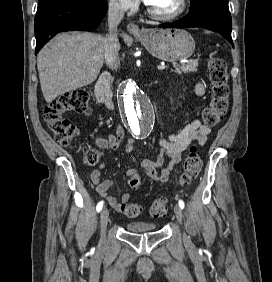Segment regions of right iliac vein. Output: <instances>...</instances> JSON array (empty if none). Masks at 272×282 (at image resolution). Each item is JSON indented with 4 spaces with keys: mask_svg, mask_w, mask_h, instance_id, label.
<instances>
[{
    "mask_svg": "<svg viewBox=\"0 0 272 282\" xmlns=\"http://www.w3.org/2000/svg\"><path fill=\"white\" fill-rule=\"evenodd\" d=\"M108 218H109V211L107 208H103L100 213V227H101L102 235L105 234Z\"/></svg>",
    "mask_w": 272,
    "mask_h": 282,
    "instance_id": "right-iliac-vein-1",
    "label": "right iliac vein"
}]
</instances>
